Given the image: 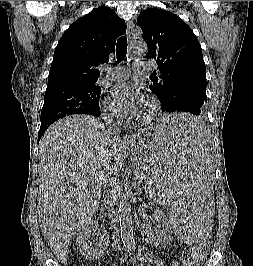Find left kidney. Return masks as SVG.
Masks as SVG:
<instances>
[{
    "instance_id": "obj_1",
    "label": "left kidney",
    "mask_w": 253,
    "mask_h": 266,
    "mask_svg": "<svg viewBox=\"0 0 253 266\" xmlns=\"http://www.w3.org/2000/svg\"><path fill=\"white\" fill-rule=\"evenodd\" d=\"M159 222L161 223L162 230L160 231H153L151 229L145 231V235L147 236V239L155 245H159L162 243H168V241L171 239L170 234V225L167 220V218L164 215L158 216Z\"/></svg>"
}]
</instances>
